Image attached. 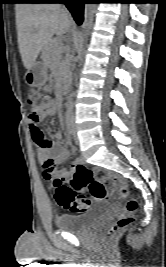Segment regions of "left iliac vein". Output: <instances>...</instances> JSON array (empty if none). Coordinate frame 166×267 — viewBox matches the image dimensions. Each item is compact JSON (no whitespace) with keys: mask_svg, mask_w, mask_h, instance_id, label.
I'll return each mask as SVG.
<instances>
[{"mask_svg":"<svg viewBox=\"0 0 166 267\" xmlns=\"http://www.w3.org/2000/svg\"><path fill=\"white\" fill-rule=\"evenodd\" d=\"M72 133H73L75 142L77 143V142H78V137H77V135H76V127H75V124H74V122H73V119H72Z\"/></svg>","mask_w":166,"mask_h":267,"instance_id":"left-iliac-vein-1","label":"left iliac vein"}]
</instances>
